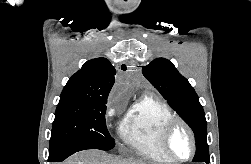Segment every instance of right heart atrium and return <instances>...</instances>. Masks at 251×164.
Instances as JSON below:
<instances>
[{"label":"right heart atrium","instance_id":"obj_1","mask_svg":"<svg viewBox=\"0 0 251 164\" xmlns=\"http://www.w3.org/2000/svg\"><path fill=\"white\" fill-rule=\"evenodd\" d=\"M116 111H117V109L115 107L107 108V111L105 114L106 118L111 119L115 115Z\"/></svg>","mask_w":251,"mask_h":164}]
</instances>
